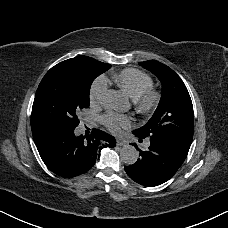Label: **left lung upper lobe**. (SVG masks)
Returning a JSON list of instances; mask_svg holds the SVG:
<instances>
[{
    "label": "left lung upper lobe",
    "instance_id": "obj_1",
    "mask_svg": "<svg viewBox=\"0 0 228 228\" xmlns=\"http://www.w3.org/2000/svg\"><path fill=\"white\" fill-rule=\"evenodd\" d=\"M162 83L163 93L152 118L136 129L141 136L164 134L192 140L194 133L193 106L181 78L168 66L156 60L139 62Z\"/></svg>",
    "mask_w": 228,
    "mask_h": 228
}]
</instances>
